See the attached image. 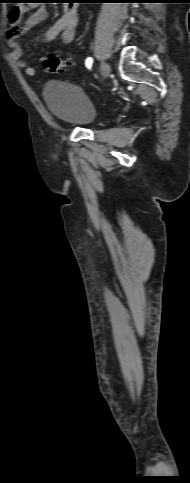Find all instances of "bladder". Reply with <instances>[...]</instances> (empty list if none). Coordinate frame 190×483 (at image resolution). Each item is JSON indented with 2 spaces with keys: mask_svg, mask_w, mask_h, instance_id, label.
I'll return each mask as SVG.
<instances>
[{
  "mask_svg": "<svg viewBox=\"0 0 190 483\" xmlns=\"http://www.w3.org/2000/svg\"><path fill=\"white\" fill-rule=\"evenodd\" d=\"M43 99L51 114L66 124L88 127L96 119L92 101L74 84L50 81L43 89Z\"/></svg>",
  "mask_w": 190,
  "mask_h": 483,
  "instance_id": "bladder-1",
  "label": "bladder"
}]
</instances>
